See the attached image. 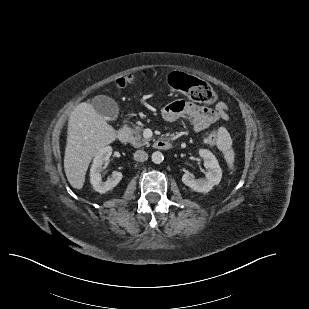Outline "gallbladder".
<instances>
[{
	"label": "gallbladder",
	"mask_w": 309,
	"mask_h": 309,
	"mask_svg": "<svg viewBox=\"0 0 309 309\" xmlns=\"http://www.w3.org/2000/svg\"><path fill=\"white\" fill-rule=\"evenodd\" d=\"M91 104L94 109L107 120H116L119 108L116 101L105 95H98L92 98Z\"/></svg>",
	"instance_id": "1"
}]
</instances>
